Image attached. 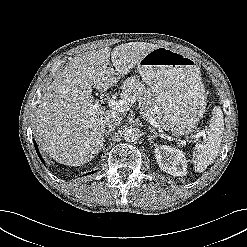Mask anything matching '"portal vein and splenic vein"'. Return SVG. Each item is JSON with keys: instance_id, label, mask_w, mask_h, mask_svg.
Listing matches in <instances>:
<instances>
[{"instance_id": "18ae733b", "label": "portal vein and splenic vein", "mask_w": 247, "mask_h": 247, "mask_svg": "<svg viewBox=\"0 0 247 247\" xmlns=\"http://www.w3.org/2000/svg\"><path fill=\"white\" fill-rule=\"evenodd\" d=\"M136 101V97L135 96H125L123 97L122 99L120 100H114V99H111L109 98L107 100V104L110 108H112L113 110L117 111V112H124L126 109H128V107L133 104L134 102ZM95 109L98 107V103H96L94 106H93ZM146 118V120L153 126V127H156V128H159V125L158 123L156 122V120L147 115V116H144ZM203 137V139L205 140L206 139V135H205V132L201 133V135Z\"/></svg>"}]
</instances>
